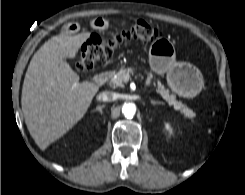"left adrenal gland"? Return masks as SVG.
Masks as SVG:
<instances>
[{
	"label": "left adrenal gland",
	"mask_w": 245,
	"mask_h": 195,
	"mask_svg": "<svg viewBox=\"0 0 245 195\" xmlns=\"http://www.w3.org/2000/svg\"><path fill=\"white\" fill-rule=\"evenodd\" d=\"M151 104L152 105H159V104H162L163 105L162 102H160V101H154V100H151Z\"/></svg>",
	"instance_id": "obj_1"
}]
</instances>
